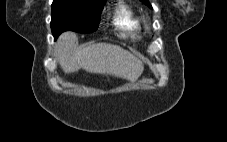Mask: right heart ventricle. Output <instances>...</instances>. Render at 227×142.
I'll list each match as a JSON object with an SVG mask.
<instances>
[{
  "label": "right heart ventricle",
  "mask_w": 227,
  "mask_h": 142,
  "mask_svg": "<svg viewBox=\"0 0 227 142\" xmlns=\"http://www.w3.org/2000/svg\"><path fill=\"white\" fill-rule=\"evenodd\" d=\"M113 24L124 36L131 38H135L141 28V21L136 11L125 2H120L117 5Z\"/></svg>",
  "instance_id": "obj_1"
}]
</instances>
